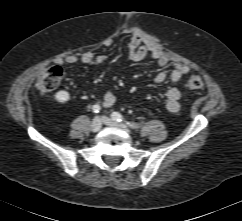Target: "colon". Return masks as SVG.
<instances>
[{
	"instance_id": "5ec220e1",
	"label": "colon",
	"mask_w": 242,
	"mask_h": 221,
	"mask_svg": "<svg viewBox=\"0 0 242 221\" xmlns=\"http://www.w3.org/2000/svg\"><path fill=\"white\" fill-rule=\"evenodd\" d=\"M63 71L59 66H52L42 71L36 81V88L40 93H49L57 88L61 79ZM203 85L200 76L192 75L188 82L187 87L190 89H199Z\"/></svg>"
}]
</instances>
